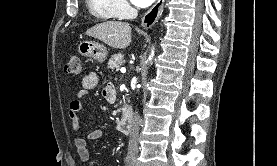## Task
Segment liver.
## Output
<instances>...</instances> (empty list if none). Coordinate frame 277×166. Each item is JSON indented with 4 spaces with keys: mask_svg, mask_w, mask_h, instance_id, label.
I'll use <instances>...</instances> for the list:
<instances>
[{
    "mask_svg": "<svg viewBox=\"0 0 277 166\" xmlns=\"http://www.w3.org/2000/svg\"><path fill=\"white\" fill-rule=\"evenodd\" d=\"M115 49H125L131 42V27L120 21H106L88 29L85 33Z\"/></svg>",
    "mask_w": 277,
    "mask_h": 166,
    "instance_id": "liver-1",
    "label": "liver"
}]
</instances>
